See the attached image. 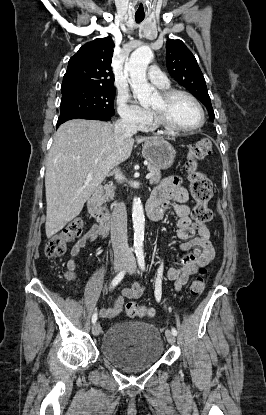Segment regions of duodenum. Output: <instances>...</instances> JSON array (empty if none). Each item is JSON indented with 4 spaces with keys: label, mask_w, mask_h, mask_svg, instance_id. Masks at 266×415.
Here are the masks:
<instances>
[{
    "label": "duodenum",
    "mask_w": 266,
    "mask_h": 415,
    "mask_svg": "<svg viewBox=\"0 0 266 415\" xmlns=\"http://www.w3.org/2000/svg\"><path fill=\"white\" fill-rule=\"evenodd\" d=\"M102 194V186H97L87 201V210L90 216L97 221L100 227L105 231H108L112 225V216L103 211L100 207Z\"/></svg>",
    "instance_id": "1"
}]
</instances>
